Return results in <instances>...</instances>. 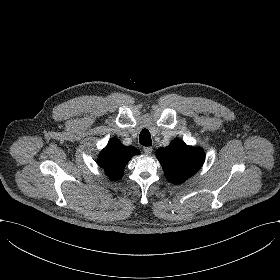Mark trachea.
<instances>
[{
  "instance_id": "1",
  "label": "trachea",
  "mask_w": 280,
  "mask_h": 280,
  "mask_svg": "<svg viewBox=\"0 0 280 280\" xmlns=\"http://www.w3.org/2000/svg\"><path fill=\"white\" fill-rule=\"evenodd\" d=\"M139 142L143 146H151L152 140L150 137V132L147 129H143L139 135Z\"/></svg>"
}]
</instances>
